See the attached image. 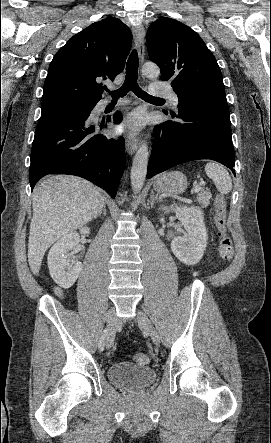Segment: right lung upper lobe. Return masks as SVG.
Wrapping results in <instances>:
<instances>
[{"label": "right lung upper lobe", "instance_id": "right-lung-upper-lobe-1", "mask_svg": "<svg viewBox=\"0 0 271 443\" xmlns=\"http://www.w3.org/2000/svg\"><path fill=\"white\" fill-rule=\"evenodd\" d=\"M132 44L130 29L108 17L74 35L54 56L44 83L42 103L74 101L96 104L102 83L121 73Z\"/></svg>", "mask_w": 271, "mask_h": 443}]
</instances>
